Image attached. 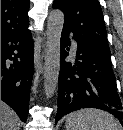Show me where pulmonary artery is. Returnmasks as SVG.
Here are the masks:
<instances>
[{"label": "pulmonary artery", "mask_w": 123, "mask_h": 130, "mask_svg": "<svg viewBox=\"0 0 123 130\" xmlns=\"http://www.w3.org/2000/svg\"><path fill=\"white\" fill-rule=\"evenodd\" d=\"M72 49H73L74 51H76V49H77V44H76L75 41H72Z\"/></svg>", "instance_id": "obj_1"}]
</instances>
